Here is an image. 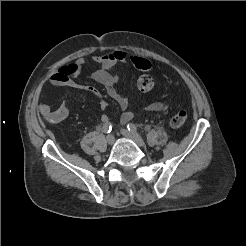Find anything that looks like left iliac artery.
Segmentation results:
<instances>
[{
    "mask_svg": "<svg viewBox=\"0 0 246 246\" xmlns=\"http://www.w3.org/2000/svg\"><path fill=\"white\" fill-rule=\"evenodd\" d=\"M127 128L130 132L137 133V127L133 123H129Z\"/></svg>",
    "mask_w": 246,
    "mask_h": 246,
    "instance_id": "44dca946",
    "label": "left iliac artery"
}]
</instances>
